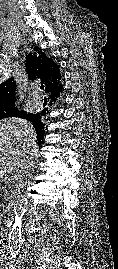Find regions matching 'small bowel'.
Wrapping results in <instances>:
<instances>
[{
	"instance_id": "1",
	"label": "small bowel",
	"mask_w": 118,
	"mask_h": 269,
	"mask_svg": "<svg viewBox=\"0 0 118 269\" xmlns=\"http://www.w3.org/2000/svg\"><path fill=\"white\" fill-rule=\"evenodd\" d=\"M2 262V257H0V263ZM0 269H8L6 266L0 265Z\"/></svg>"
}]
</instances>
